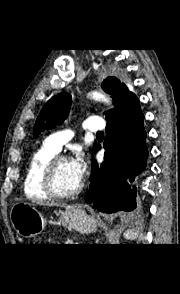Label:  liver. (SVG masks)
<instances>
[{
	"instance_id": "6515ba94",
	"label": "liver",
	"mask_w": 180,
	"mask_h": 294,
	"mask_svg": "<svg viewBox=\"0 0 180 294\" xmlns=\"http://www.w3.org/2000/svg\"><path fill=\"white\" fill-rule=\"evenodd\" d=\"M43 205H47V206H59V204L56 203H42ZM65 206V205H62Z\"/></svg>"
}]
</instances>
